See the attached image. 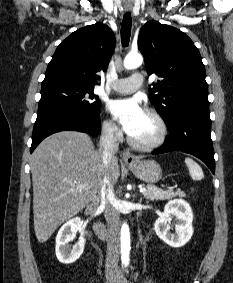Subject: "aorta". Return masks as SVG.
<instances>
[{
    "label": "aorta",
    "instance_id": "obj_1",
    "mask_svg": "<svg viewBox=\"0 0 233 283\" xmlns=\"http://www.w3.org/2000/svg\"><path fill=\"white\" fill-rule=\"evenodd\" d=\"M143 62V57L139 53H129L124 59L125 69H135L139 67ZM121 243V260L122 263L127 264L129 262L130 254V231L127 223H123L120 232Z\"/></svg>",
    "mask_w": 233,
    "mask_h": 283
}]
</instances>
